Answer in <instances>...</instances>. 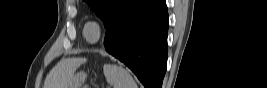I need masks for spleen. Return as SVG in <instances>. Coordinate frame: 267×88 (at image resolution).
Masks as SVG:
<instances>
[{
	"instance_id": "obj_1",
	"label": "spleen",
	"mask_w": 267,
	"mask_h": 88,
	"mask_svg": "<svg viewBox=\"0 0 267 88\" xmlns=\"http://www.w3.org/2000/svg\"><path fill=\"white\" fill-rule=\"evenodd\" d=\"M103 71L106 81L113 88H138L131 74L121 66L104 65Z\"/></svg>"
}]
</instances>
